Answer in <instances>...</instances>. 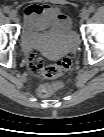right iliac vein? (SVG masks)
Here are the masks:
<instances>
[{
    "mask_svg": "<svg viewBox=\"0 0 104 137\" xmlns=\"http://www.w3.org/2000/svg\"><path fill=\"white\" fill-rule=\"evenodd\" d=\"M17 12L16 11H14V10H12V11H10L9 12V18L11 19V20H16L17 19Z\"/></svg>",
    "mask_w": 104,
    "mask_h": 137,
    "instance_id": "63e3f726",
    "label": "right iliac vein"
}]
</instances>
